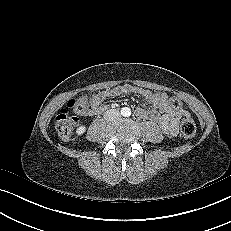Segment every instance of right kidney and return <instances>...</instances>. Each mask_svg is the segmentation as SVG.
<instances>
[{"label":"right kidney","instance_id":"ca27d5eb","mask_svg":"<svg viewBox=\"0 0 231 231\" xmlns=\"http://www.w3.org/2000/svg\"><path fill=\"white\" fill-rule=\"evenodd\" d=\"M86 131V127L84 125H81L79 126L77 129H76V134L78 136L82 135L84 132Z\"/></svg>","mask_w":231,"mask_h":231}]
</instances>
